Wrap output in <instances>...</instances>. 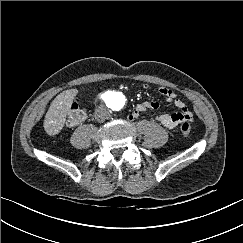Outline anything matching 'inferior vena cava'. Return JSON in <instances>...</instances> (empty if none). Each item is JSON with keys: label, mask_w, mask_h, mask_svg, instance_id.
Returning <instances> with one entry per match:
<instances>
[{"label": "inferior vena cava", "mask_w": 243, "mask_h": 243, "mask_svg": "<svg viewBox=\"0 0 243 243\" xmlns=\"http://www.w3.org/2000/svg\"><path fill=\"white\" fill-rule=\"evenodd\" d=\"M99 116L101 117V120H105V119H107L109 117V113L106 111V109L102 108L100 110V115Z\"/></svg>", "instance_id": "inferior-vena-cava-1"}]
</instances>
